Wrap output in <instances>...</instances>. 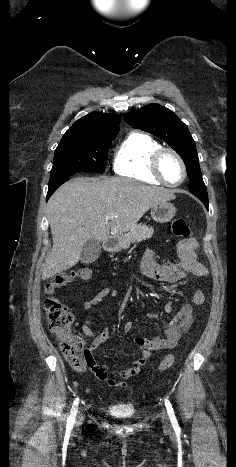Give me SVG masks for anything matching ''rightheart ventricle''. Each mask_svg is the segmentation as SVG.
<instances>
[{
    "label": "right heart ventricle",
    "instance_id": "obj_1",
    "mask_svg": "<svg viewBox=\"0 0 236 467\" xmlns=\"http://www.w3.org/2000/svg\"><path fill=\"white\" fill-rule=\"evenodd\" d=\"M161 145L150 135L131 132L118 146L113 162L116 174L150 184H161L151 172V158Z\"/></svg>",
    "mask_w": 236,
    "mask_h": 467
}]
</instances>
